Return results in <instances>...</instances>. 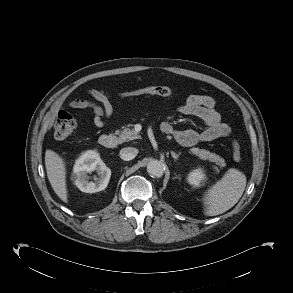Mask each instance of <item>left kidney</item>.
<instances>
[{"instance_id": "1", "label": "left kidney", "mask_w": 293, "mask_h": 293, "mask_svg": "<svg viewBox=\"0 0 293 293\" xmlns=\"http://www.w3.org/2000/svg\"><path fill=\"white\" fill-rule=\"evenodd\" d=\"M187 182L193 188H199L206 183V175L201 168L191 171L187 176Z\"/></svg>"}]
</instances>
